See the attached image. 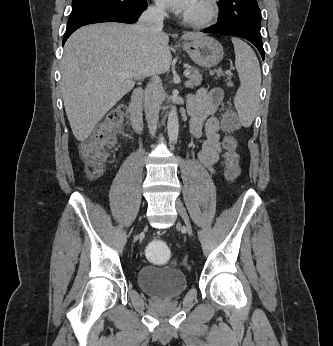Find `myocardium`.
Here are the masks:
<instances>
[{
  "label": "myocardium",
  "instance_id": "f54148a6",
  "mask_svg": "<svg viewBox=\"0 0 333 346\" xmlns=\"http://www.w3.org/2000/svg\"><path fill=\"white\" fill-rule=\"evenodd\" d=\"M204 10L201 13H185L186 23L196 27H209L216 23L219 17L218 0H201Z\"/></svg>",
  "mask_w": 333,
  "mask_h": 346
}]
</instances>
